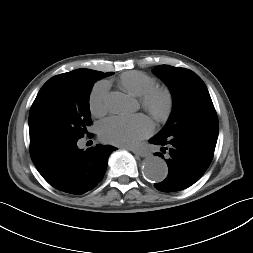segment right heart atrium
Segmentation results:
<instances>
[{
    "instance_id": "obj_1",
    "label": "right heart atrium",
    "mask_w": 253,
    "mask_h": 253,
    "mask_svg": "<svg viewBox=\"0 0 253 253\" xmlns=\"http://www.w3.org/2000/svg\"><path fill=\"white\" fill-rule=\"evenodd\" d=\"M107 94L106 82L101 81L93 86L89 96V108L92 114L101 115L106 111Z\"/></svg>"
}]
</instances>
